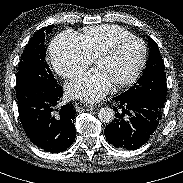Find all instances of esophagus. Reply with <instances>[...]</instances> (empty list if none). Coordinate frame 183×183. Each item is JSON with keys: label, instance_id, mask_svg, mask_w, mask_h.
Wrapping results in <instances>:
<instances>
[{"label": "esophagus", "instance_id": "34e87169", "mask_svg": "<svg viewBox=\"0 0 183 183\" xmlns=\"http://www.w3.org/2000/svg\"><path fill=\"white\" fill-rule=\"evenodd\" d=\"M75 108L78 112H83L94 110L96 107L94 105L85 104L84 102L80 101L76 103Z\"/></svg>", "mask_w": 183, "mask_h": 183}]
</instances>
